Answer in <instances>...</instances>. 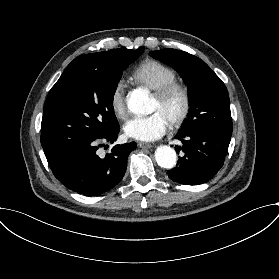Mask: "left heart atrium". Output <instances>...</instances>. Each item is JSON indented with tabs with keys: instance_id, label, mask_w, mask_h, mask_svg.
<instances>
[{
	"instance_id": "1",
	"label": "left heart atrium",
	"mask_w": 279,
	"mask_h": 279,
	"mask_svg": "<svg viewBox=\"0 0 279 279\" xmlns=\"http://www.w3.org/2000/svg\"><path fill=\"white\" fill-rule=\"evenodd\" d=\"M169 122L161 111H155L149 116L134 117L128 120L123 131L128 138L152 142L160 139L167 131Z\"/></svg>"
}]
</instances>
